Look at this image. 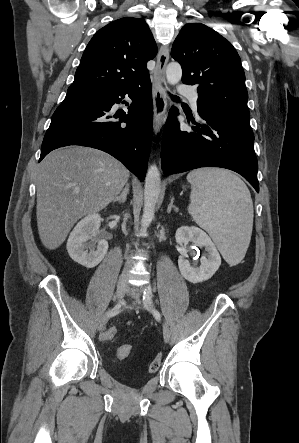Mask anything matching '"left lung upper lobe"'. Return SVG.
I'll return each mask as SVG.
<instances>
[{
	"mask_svg": "<svg viewBox=\"0 0 299 443\" xmlns=\"http://www.w3.org/2000/svg\"><path fill=\"white\" fill-rule=\"evenodd\" d=\"M171 56L181 64L182 82L198 85V112L250 118L240 57L219 33L201 23L186 24Z\"/></svg>",
	"mask_w": 299,
	"mask_h": 443,
	"instance_id": "obj_1",
	"label": "left lung upper lobe"
}]
</instances>
